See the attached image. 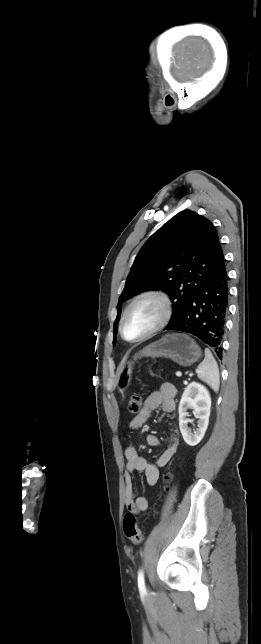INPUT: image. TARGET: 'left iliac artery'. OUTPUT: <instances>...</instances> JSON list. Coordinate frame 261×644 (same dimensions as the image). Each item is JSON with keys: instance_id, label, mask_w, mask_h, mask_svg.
Wrapping results in <instances>:
<instances>
[{"instance_id": "obj_1", "label": "left iliac artery", "mask_w": 261, "mask_h": 644, "mask_svg": "<svg viewBox=\"0 0 261 644\" xmlns=\"http://www.w3.org/2000/svg\"><path fill=\"white\" fill-rule=\"evenodd\" d=\"M138 588L141 593H146L143 570L138 573Z\"/></svg>"}]
</instances>
